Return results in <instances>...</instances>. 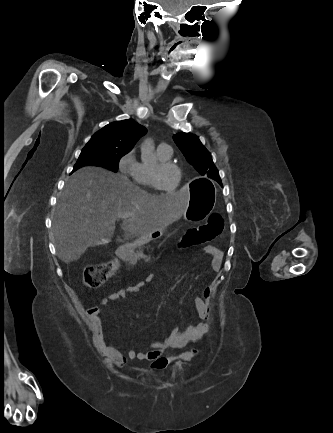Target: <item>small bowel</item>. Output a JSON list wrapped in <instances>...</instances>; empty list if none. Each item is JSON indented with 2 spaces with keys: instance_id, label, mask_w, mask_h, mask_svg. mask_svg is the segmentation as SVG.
<instances>
[{
  "instance_id": "small-bowel-1",
  "label": "small bowel",
  "mask_w": 333,
  "mask_h": 433,
  "mask_svg": "<svg viewBox=\"0 0 333 433\" xmlns=\"http://www.w3.org/2000/svg\"><path fill=\"white\" fill-rule=\"evenodd\" d=\"M203 251L212 256L211 268L216 272L221 265L223 257L222 252L212 245L204 246ZM152 280L153 275L150 274L141 282L112 292L101 300V305H105L109 301L124 299L128 294H135L141 287L145 286ZM212 296L213 290L208 286L204 289L202 297H195L193 299L195 314L200 322L190 323L182 330L172 328L165 338L158 341H151L148 343V348L141 351L129 349L126 353H123L119 350L114 338L105 341L103 336L101 311L99 307L89 308L86 311V316L92 328L95 343L112 364L118 368H122L126 364L127 360L131 359L149 361L152 366L155 361L163 357L162 353L166 349L182 348L188 343L199 341L205 336L209 330L207 320L210 319L212 314Z\"/></svg>"
}]
</instances>
